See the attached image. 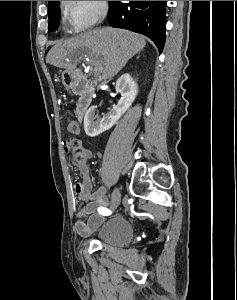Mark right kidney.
Here are the masks:
<instances>
[{"instance_id":"obj_1","label":"right kidney","mask_w":237,"mask_h":300,"mask_svg":"<svg viewBox=\"0 0 237 300\" xmlns=\"http://www.w3.org/2000/svg\"><path fill=\"white\" fill-rule=\"evenodd\" d=\"M115 89L117 93H120L121 99L118 101V105L113 107L111 111L105 113L103 117H98L96 107H90V109L86 111L84 117V131L88 137H98V135H101L104 131L111 129V127L119 121L120 117L126 113L130 105H132L138 93L137 83L133 81L129 73L117 79Z\"/></svg>"}]
</instances>
